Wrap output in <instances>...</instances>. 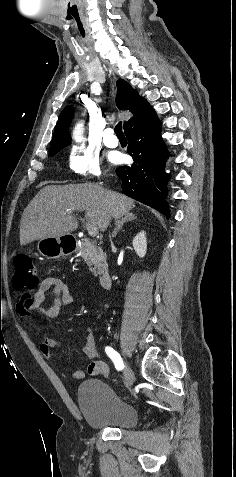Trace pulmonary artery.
I'll return each instance as SVG.
<instances>
[{
	"instance_id": "e3ab8cb5",
	"label": "pulmonary artery",
	"mask_w": 236,
	"mask_h": 477,
	"mask_svg": "<svg viewBox=\"0 0 236 477\" xmlns=\"http://www.w3.org/2000/svg\"><path fill=\"white\" fill-rule=\"evenodd\" d=\"M103 141L104 144L110 148H115L118 146L119 142L117 137L114 135L112 128H106L103 130Z\"/></svg>"
}]
</instances>
